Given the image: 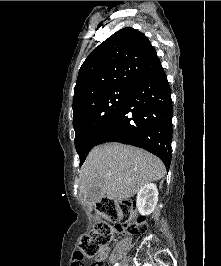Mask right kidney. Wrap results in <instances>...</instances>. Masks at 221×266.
<instances>
[{
    "instance_id": "obj_1",
    "label": "right kidney",
    "mask_w": 221,
    "mask_h": 266,
    "mask_svg": "<svg viewBox=\"0 0 221 266\" xmlns=\"http://www.w3.org/2000/svg\"><path fill=\"white\" fill-rule=\"evenodd\" d=\"M158 202V189L155 184L149 183L140 188L137 193L136 205L139 213L149 215Z\"/></svg>"
}]
</instances>
